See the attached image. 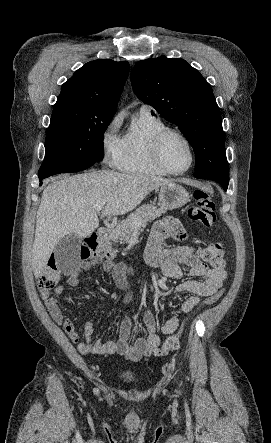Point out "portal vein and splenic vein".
Here are the masks:
<instances>
[{
	"mask_svg": "<svg viewBox=\"0 0 271 443\" xmlns=\"http://www.w3.org/2000/svg\"><path fill=\"white\" fill-rule=\"evenodd\" d=\"M106 204V200H100V202H97V204H94L93 208L97 214H100L101 210H103L104 206ZM136 223V222H134Z\"/></svg>",
	"mask_w": 271,
	"mask_h": 443,
	"instance_id": "portal-vein-and-splenic-vein-1",
	"label": "portal vein and splenic vein"
}]
</instances>
